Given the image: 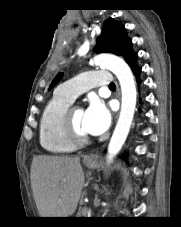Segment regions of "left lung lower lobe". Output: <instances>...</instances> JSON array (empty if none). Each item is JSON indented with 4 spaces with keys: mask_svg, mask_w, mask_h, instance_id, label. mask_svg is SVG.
Masks as SVG:
<instances>
[{
    "mask_svg": "<svg viewBox=\"0 0 181 227\" xmlns=\"http://www.w3.org/2000/svg\"><path fill=\"white\" fill-rule=\"evenodd\" d=\"M136 57L137 55L131 51H129L126 55H125V60L126 62L130 65L134 75L138 78L139 74H140V69L139 67L136 65ZM138 84H140V81L138 80Z\"/></svg>",
    "mask_w": 181,
    "mask_h": 227,
    "instance_id": "left-lung-lower-lobe-1",
    "label": "left lung lower lobe"
}]
</instances>
